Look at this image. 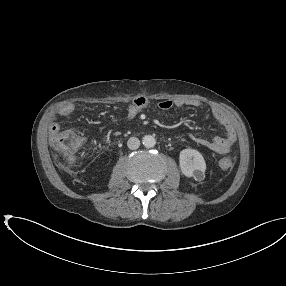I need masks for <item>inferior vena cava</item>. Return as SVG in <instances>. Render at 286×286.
I'll list each match as a JSON object with an SVG mask.
<instances>
[{"mask_svg":"<svg viewBox=\"0 0 286 286\" xmlns=\"http://www.w3.org/2000/svg\"><path fill=\"white\" fill-rule=\"evenodd\" d=\"M127 146L129 149L131 150H136L139 148L140 146V141L138 138L136 137H131L129 138L128 142H127Z\"/></svg>","mask_w":286,"mask_h":286,"instance_id":"1","label":"inferior vena cava"}]
</instances>
